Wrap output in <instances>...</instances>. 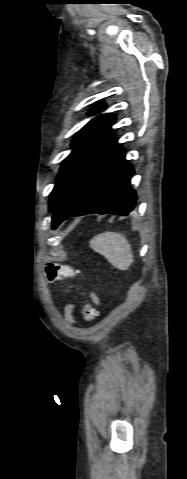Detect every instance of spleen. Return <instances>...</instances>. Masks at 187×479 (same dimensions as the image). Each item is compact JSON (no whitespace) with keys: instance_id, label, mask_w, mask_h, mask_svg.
<instances>
[{"instance_id":"3e777b00","label":"spleen","mask_w":187,"mask_h":479,"mask_svg":"<svg viewBox=\"0 0 187 479\" xmlns=\"http://www.w3.org/2000/svg\"><path fill=\"white\" fill-rule=\"evenodd\" d=\"M90 247L103 255L112 266L119 270H128L134 261L131 245L120 233L98 234L90 240Z\"/></svg>"}]
</instances>
